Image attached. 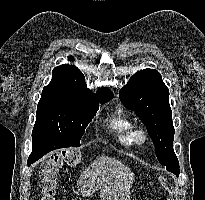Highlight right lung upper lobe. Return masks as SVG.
<instances>
[{"instance_id": "1", "label": "right lung upper lobe", "mask_w": 205, "mask_h": 200, "mask_svg": "<svg viewBox=\"0 0 205 200\" xmlns=\"http://www.w3.org/2000/svg\"><path fill=\"white\" fill-rule=\"evenodd\" d=\"M68 59L74 61L72 56H69ZM50 84H60L74 88L95 100H104L113 96L108 88H99L96 94L92 93L86 86L83 73L74 65L69 64H63L53 69Z\"/></svg>"}]
</instances>
